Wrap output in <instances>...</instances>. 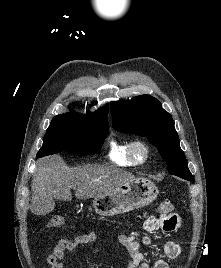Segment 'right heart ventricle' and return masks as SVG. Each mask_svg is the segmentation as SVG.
<instances>
[{"label": "right heart ventricle", "instance_id": "obj_1", "mask_svg": "<svg viewBox=\"0 0 221 268\" xmlns=\"http://www.w3.org/2000/svg\"><path fill=\"white\" fill-rule=\"evenodd\" d=\"M130 141L112 139L109 143L108 158L111 162L119 166H134L128 155Z\"/></svg>", "mask_w": 221, "mask_h": 268}]
</instances>
